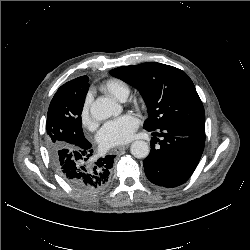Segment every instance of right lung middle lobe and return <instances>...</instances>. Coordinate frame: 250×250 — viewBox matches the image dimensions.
<instances>
[{
  "mask_svg": "<svg viewBox=\"0 0 250 250\" xmlns=\"http://www.w3.org/2000/svg\"><path fill=\"white\" fill-rule=\"evenodd\" d=\"M88 82L87 76L71 80L62 85L51 100L46 122V141L50 154L63 148L74 149L88 141L81 123Z\"/></svg>",
  "mask_w": 250,
  "mask_h": 250,
  "instance_id": "1",
  "label": "right lung middle lobe"
}]
</instances>
